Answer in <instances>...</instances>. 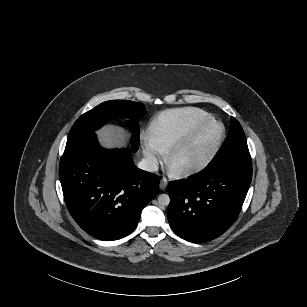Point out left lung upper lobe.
I'll list each match as a JSON object with an SVG mask.
<instances>
[{
  "label": "left lung upper lobe",
  "instance_id": "left-lung-upper-lobe-1",
  "mask_svg": "<svg viewBox=\"0 0 307 307\" xmlns=\"http://www.w3.org/2000/svg\"><path fill=\"white\" fill-rule=\"evenodd\" d=\"M225 162H244L251 164V156L245 134L240 123L234 117H231L229 135L206 168H211Z\"/></svg>",
  "mask_w": 307,
  "mask_h": 307
}]
</instances>
